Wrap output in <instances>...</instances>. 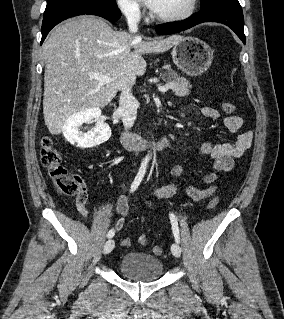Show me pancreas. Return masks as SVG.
<instances>
[{
	"mask_svg": "<svg viewBox=\"0 0 284 319\" xmlns=\"http://www.w3.org/2000/svg\"><path fill=\"white\" fill-rule=\"evenodd\" d=\"M163 80L172 84L170 89H172L175 95L179 97L189 95L192 86L184 77H179L175 72L168 71L163 75Z\"/></svg>",
	"mask_w": 284,
	"mask_h": 319,
	"instance_id": "cf45deb5",
	"label": "pancreas"
}]
</instances>
